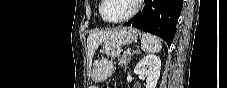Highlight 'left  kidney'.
<instances>
[{
    "instance_id": "5707ae66",
    "label": "left kidney",
    "mask_w": 227,
    "mask_h": 88,
    "mask_svg": "<svg viewBox=\"0 0 227 88\" xmlns=\"http://www.w3.org/2000/svg\"><path fill=\"white\" fill-rule=\"evenodd\" d=\"M160 69V58L154 54H148L136 65L134 73L146 78V88H156Z\"/></svg>"
}]
</instances>
